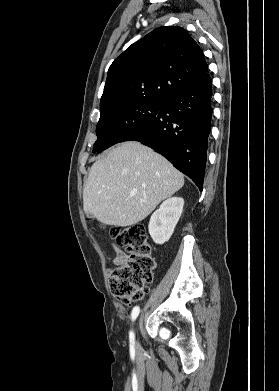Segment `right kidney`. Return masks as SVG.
<instances>
[{"label": "right kidney", "instance_id": "1", "mask_svg": "<svg viewBox=\"0 0 279 391\" xmlns=\"http://www.w3.org/2000/svg\"><path fill=\"white\" fill-rule=\"evenodd\" d=\"M183 206V198L171 197L152 214L148 229L156 244H164L170 239L182 214Z\"/></svg>", "mask_w": 279, "mask_h": 391}]
</instances>
